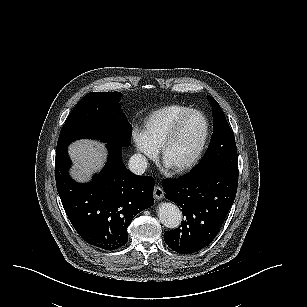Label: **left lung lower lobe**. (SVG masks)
Returning <instances> with one entry per match:
<instances>
[{"mask_svg": "<svg viewBox=\"0 0 307 307\" xmlns=\"http://www.w3.org/2000/svg\"><path fill=\"white\" fill-rule=\"evenodd\" d=\"M238 170L208 166L179 179L162 182L165 197L182 208L185 220L164 233L174 251L191 254L208 246L218 234L237 192Z\"/></svg>", "mask_w": 307, "mask_h": 307, "instance_id": "obj_1", "label": "left lung lower lobe"}]
</instances>
